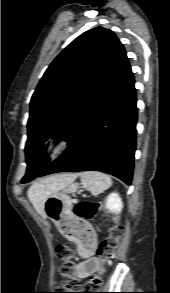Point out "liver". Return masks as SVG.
I'll return each mask as SVG.
<instances>
[{"label":"liver","mask_w":170,"mask_h":293,"mask_svg":"<svg viewBox=\"0 0 170 293\" xmlns=\"http://www.w3.org/2000/svg\"><path fill=\"white\" fill-rule=\"evenodd\" d=\"M77 176V174H60L46 177L34 183L28 190V198L38 214L46 218L44 203L48 196L69 182L74 181Z\"/></svg>","instance_id":"6515ba94"}]
</instances>
